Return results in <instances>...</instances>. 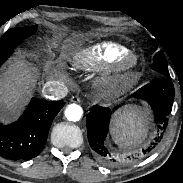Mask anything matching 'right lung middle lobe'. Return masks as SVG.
Here are the masks:
<instances>
[{"mask_svg": "<svg viewBox=\"0 0 183 183\" xmlns=\"http://www.w3.org/2000/svg\"><path fill=\"white\" fill-rule=\"evenodd\" d=\"M36 30L37 26L12 28L8 30L0 39V56L13 52L25 38L34 34Z\"/></svg>", "mask_w": 183, "mask_h": 183, "instance_id": "dd1d6c3e", "label": "right lung middle lobe"}]
</instances>
